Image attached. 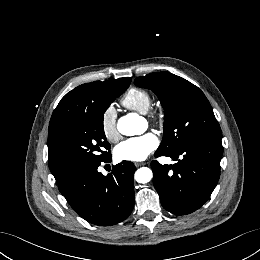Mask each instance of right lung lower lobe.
<instances>
[{
	"mask_svg": "<svg viewBox=\"0 0 260 260\" xmlns=\"http://www.w3.org/2000/svg\"><path fill=\"white\" fill-rule=\"evenodd\" d=\"M111 154L101 162H110ZM101 162L77 168L58 182L59 191L86 221L110 226L125 220L134 207L135 166L122 161L104 176L97 168Z\"/></svg>",
	"mask_w": 260,
	"mask_h": 260,
	"instance_id": "98d812e1",
	"label": "right lung lower lobe"
}]
</instances>
